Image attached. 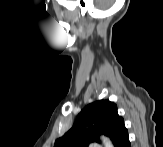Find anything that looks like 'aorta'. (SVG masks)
<instances>
[{
  "mask_svg": "<svg viewBox=\"0 0 163 147\" xmlns=\"http://www.w3.org/2000/svg\"><path fill=\"white\" fill-rule=\"evenodd\" d=\"M102 141H103L105 147H112L113 146L112 142L107 137L103 136Z\"/></svg>",
  "mask_w": 163,
  "mask_h": 147,
  "instance_id": "aorta-1",
  "label": "aorta"
}]
</instances>
